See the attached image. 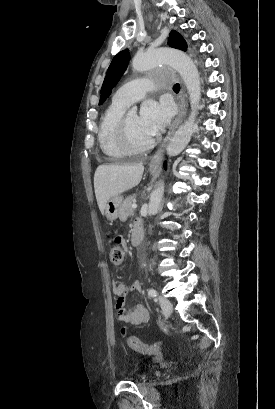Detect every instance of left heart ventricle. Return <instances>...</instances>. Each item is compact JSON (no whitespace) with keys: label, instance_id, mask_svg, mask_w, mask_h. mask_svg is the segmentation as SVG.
Masks as SVG:
<instances>
[{"label":"left heart ventricle","instance_id":"obj_1","mask_svg":"<svg viewBox=\"0 0 275 409\" xmlns=\"http://www.w3.org/2000/svg\"><path fill=\"white\" fill-rule=\"evenodd\" d=\"M127 123L132 141L135 145L144 146L153 139V137L149 136L142 128L137 115L128 116Z\"/></svg>","mask_w":275,"mask_h":409}]
</instances>
